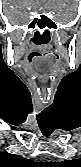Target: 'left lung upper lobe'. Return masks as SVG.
I'll use <instances>...</instances> for the list:
<instances>
[{"label":"left lung upper lobe","instance_id":"obj_1","mask_svg":"<svg viewBox=\"0 0 81 167\" xmlns=\"http://www.w3.org/2000/svg\"><path fill=\"white\" fill-rule=\"evenodd\" d=\"M77 161H78L77 159L72 160V161L65 160V161H62V162L52 163L51 166H52V167H71V166H73V164H75Z\"/></svg>","mask_w":81,"mask_h":167}]
</instances>
